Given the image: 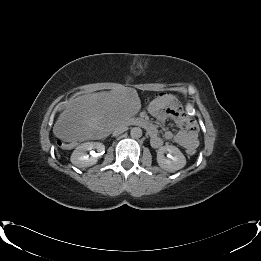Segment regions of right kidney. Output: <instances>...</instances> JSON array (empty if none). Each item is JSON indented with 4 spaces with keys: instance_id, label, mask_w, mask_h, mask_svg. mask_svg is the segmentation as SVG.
<instances>
[{
    "instance_id": "1",
    "label": "right kidney",
    "mask_w": 261,
    "mask_h": 261,
    "mask_svg": "<svg viewBox=\"0 0 261 261\" xmlns=\"http://www.w3.org/2000/svg\"><path fill=\"white\" fill-rule=\"evenodd\" d=\"M104 151L105 146L100 142H85L75 148L70 160L76 167L87 168L96 164L98 156L102 155ZM87 152H90V156Z\"/></svg>"
}]
</instances>
